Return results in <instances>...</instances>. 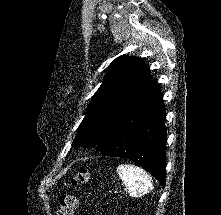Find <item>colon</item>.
Listing matches in <instances>:
<instances>
[{
  "label": "colon",
  "mask_w": 221,
  "mask_h": 215,
  "mask_svg": "<svg viewBox=\"0 0 221 215\" xmlns=\"http://www.w3.org/2000/svg\"><path fill=\"white\" fill-rule=\"evenodd\" d=\"M88 179V172L86 169L81 168L76 171L72 176V183L74 185H82ZM78 205L76 197L72 194H62L58 200V207L56 215H73Z\"/></svg>",
  "instance_id": "colon-1"
}]
</instances>
